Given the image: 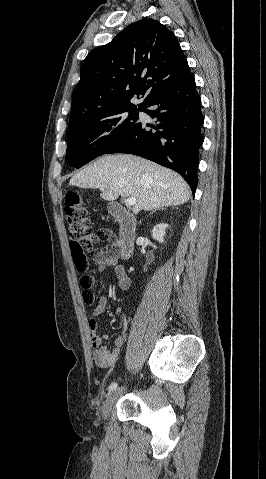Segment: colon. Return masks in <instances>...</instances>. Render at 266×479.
I'll list each match as a JSON object with an SVG mask.
<instances>
[{
    "label": "colon",
    "mask_w": 266,
    "mask_h": 479,
    "mask_svg": "<svg viewBox=\"0 0 266 479\" xmlns=\"http://www.w3.org/2000/svg\"><path fill=\"white\" fill-rule=\"evenodd\" d=\"M64 210L71 239L70 248L79 275L78 282L82 289L83 300L87 305H92L96 297L93 292V278L85 273L88 263L87 254L100 242L113 243L114 236L108 229H100L96 233L90 230L87 207L76 192L67 194ZM110 246L111 249L115 247V245Z\"/></svg>",
    "instance_id": "obj_1"
}]
</instances>
